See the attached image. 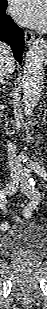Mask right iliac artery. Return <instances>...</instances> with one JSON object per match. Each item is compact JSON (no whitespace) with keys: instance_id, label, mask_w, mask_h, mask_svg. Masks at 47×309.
<instances>
[{"instance_id":"right-iliac-artery-1","label":"right iliac artery","mask_w":47,"mask_h":309,"mask_svg":"<svg viewBox=\"0 0 47 309\" xmlns=\"http://www.w3.org/2000/svg\"><path fill=\"white\" fill-rule=\"evenodd\" d=\"M6 203H7V200H6V196L3 192H1L0 194V208L1 209H5V206H6ZM8 227V224L7 223H3L1 224V229H6Z\"/></svg>"}]
</instances>
